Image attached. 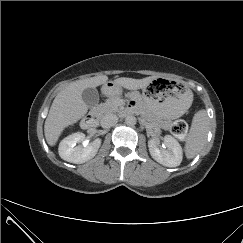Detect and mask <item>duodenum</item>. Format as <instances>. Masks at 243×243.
<instances>
[{"mask_svg": "<svg viewBox=\"0 0 243 243\" xmlns=\"http://www.w3.org/2000/svg\"><path fill=\"white\" fill-rule=\"evenodd\" d=\"M106 93L109 94L110 90L107 89ZM98 119L95 113H89L82 121V126L84 129H93L96 127Z\"/></svg>", "mask_w": 243, "mask_h": 243, "instance_id": "1", "label": "duodenum"}]
</instances>
